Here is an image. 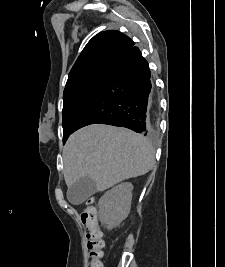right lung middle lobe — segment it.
Returning a JSON list of instances; mask_svg holds the SVG:
<instances>
[{
    "label": "right lung middle lobe",
    "instance_id": "1",
    "mask_svg": "<svg viewBox=\"0 0 225 267\" xmlns=\"http://www.w3.org/2000/svg\"><path fill=\"white\" fill-rule=\"evenodd\" d=\"M106 73L85 77L65 87L63 93V143L73 133V126L80 111L101 83Z\"/></svg>",
    "mask_w": 225,
    "mask_h": 267
}]
</instances>
